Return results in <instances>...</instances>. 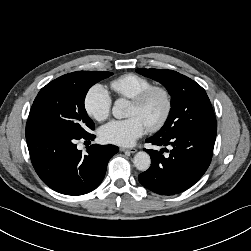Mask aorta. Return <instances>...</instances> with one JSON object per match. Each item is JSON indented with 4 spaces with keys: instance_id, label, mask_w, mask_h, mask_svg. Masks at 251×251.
Masks as SVG:
<instances>
[{
    "instance_id": "762f6f07",
    "label": "aorta",
    "mask_w": 251,
    "mask_h": 251,
    "mask_svg": "<svg viewBox=\"0 0 251 251\" xmlns=\"http://www.w3.org/2000/svg\"><path fill=\"white\" fill-rule=\"evenodd\" d=\"M130 103L124 98L117 99L112 108V114L117 119L126 118L130 115ZM134 165L139 171H146L151 164L150 156L147 152L140 151L134 156Z\"/></svg>"
}]
</instances>
